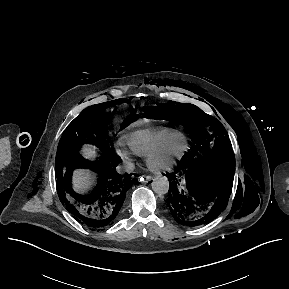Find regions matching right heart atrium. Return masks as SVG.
Wrapping results in <instances>:
<instances>
[{"mask_svg": "<svg viewBox=\"0 0 289 289\" xmlns=\"http://www.w3.org/2000/svg\"><path fill=\"white\" fill-rule=\"evenodd\" d=\"M115 154L126 164H130L132 161V154L128 150L117 146L115 148Z\"/></svg>", "mask_w": 289, "mask_h": 289, "instance_id": "obj_1", "label": "right heart atrium"}]
</instances>
